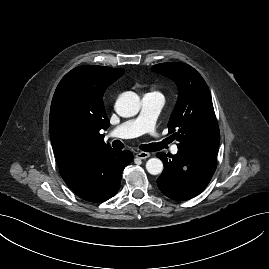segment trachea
<instances>
[{"label":"trachea","instance_id":"1","mask_svg":"<svg viewBox=\"0 0 269 269\" xmlns=\"http://www.w3.org/2000/svg\"><path fill=\"white\" fill-rule=\"evenodd\" d=\"M112 146L115 149H122L124 147L123 143L119 140H114L112 142ZM164 146H165V142H159V143H150L147 145H140L139 148L146 152H154V151L161 150L162 148H164Z\"/></svg>","mask_w":269,"mask_h":269}]
</instances>
